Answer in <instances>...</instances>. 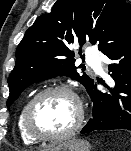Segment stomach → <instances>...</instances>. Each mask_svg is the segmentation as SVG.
<instances>
[{
    "label": "stomach",
    "mask_w": 131,
    "mask_h": 151,
    "mask_svg": "<svg viewBox=\"0 0 131 151\" xmlns=\"http://www.w3.org/2000/svg\"><path fill=\"white\" fill-rule=\"evenodd\" d=\"M91 146L83 139H69L48 147L44 151H90Z\"/></svg>",
    "instance_id": "stomach-1"
}]
</instances>
